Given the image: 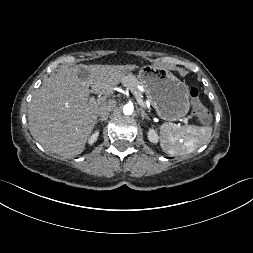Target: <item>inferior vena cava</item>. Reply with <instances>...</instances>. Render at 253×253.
Returning <instances> with one entry per match:
<instances>
[{
    "mask_svg": "<svg viewBox=\"0 0 253 253\" xmlns=\"http://www.w3.org/2000/svg\"><path fill=\"white\" fill-rule=\"evenodd\" d=\"M115 106H116L115 101H111L108 104L101 106L99 109V115L102 118L108 116L110 111H112Z\"/></svg>",
    "mask_w": 253,
    "mask_h": 253,
    "instance_id": "602c4592",
    "label": "inferior vena cava"
}]
</instances>
